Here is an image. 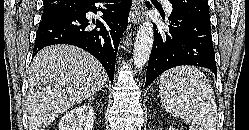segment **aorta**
<instances>
[{
	"label": "aorta",
	"mask_w": 249,
	"mask_h": 130,
	"mask_svg": "<svg viewBox=\"0 0 249 130\" xmlns=\"http://www.w3.org/2000/svg\"><path fill=\"white\" fill-rule=\"evenodd\" d=\"M154 40L153 25L149 20H145L136 34L133 50V63L136 69L141 70L147 63Z\"/></svg>",
	"instance_id": "762f6f07"
}]
</instances>
